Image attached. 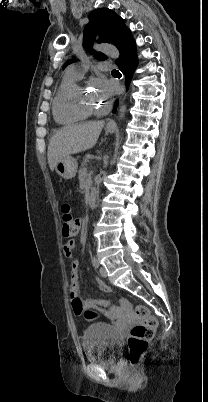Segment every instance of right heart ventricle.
Here are the masks:
<instances>
[{"label":"right heart ventricle","mask_w":208,"mask_h":402,"mask_svg":"<svg viewBox=\"0 0 208 402\" xmlns=\"http://www.w3.org/2000/svg\"><path fill=\"white\" fill-rule=\"evenodd\" d=\"M77 86L76 79L65 75L52 100L53 118L61 126L81 125L89 118V115L83 116L75 113L69 106V98Z\"/></svg>","instance_id":"right-heart-ventricle-1"}]
</instances>
